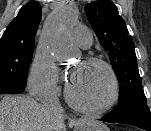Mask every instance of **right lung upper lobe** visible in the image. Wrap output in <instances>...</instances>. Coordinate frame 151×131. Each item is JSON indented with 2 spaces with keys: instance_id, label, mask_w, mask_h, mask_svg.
I'll return each mask as SVG.
<instances>
[{
  "instance_id": "right-lung-upper-lobe-1",
  "label": "right lung upper lobe",
  "mask_w": 151,
  "mask_h": 131,
  "mask_svg": "<svg viewBox=\"0 0 151 131\" xmlns=\"http://www.w3.org/2000/svg\"><path fill=\"white\" fill-rule=\"evenodd\" d=\"M41 6L37 1L24 5L16 18L8 25L0 43L14 42L24 45H34L35 35L41 19Z\"/></svg>"
}]
</instances>
